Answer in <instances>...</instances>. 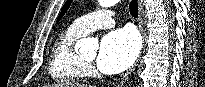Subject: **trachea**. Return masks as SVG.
Instances as JSON below:
<instances>
[{
	"label": "trachea",
	"instance_id": "1",
	"mask_svg": "<svg viewBox=\"0 0 205 87\" xmlns=\"http://www.w3.org/2000/svg\"><path fill=\"white\" fill-rule=\"evenodd\" d=\"M130 14L136 18L138 17V2L137 0H132L129 5Z\"/></svg>",
	"mask_w": 205,
	"mask_h": 87
}]
</instances>
